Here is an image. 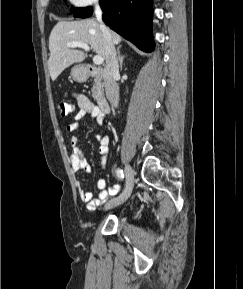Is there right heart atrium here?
<instances>
[{
    "label": "right heart atrium",
    "instance_id": "obj_1",
    "mask_svg": "<svg viewBox=\"0 0 243 289\" xmlns=\"http://www.w3.org/2000/svg\"><path fill=\"white\" fill-rule=\"evenodd\" d=\"M99 0H69L74 6L77 7H87L97 3Z\"/></svg>",
    "mask_w": 243,
    "mask_h": 289
}]
</instances>
